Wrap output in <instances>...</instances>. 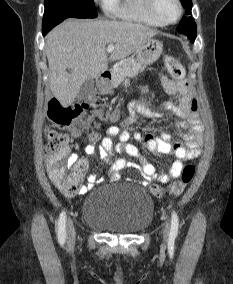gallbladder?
<instances>
[{
    "instance_id": "bac80fb5",
    "label": "gallbladder",
    "mask_w": 233,
    "mask_h": 284,
    "mask_svg": "<svg viewBox=\"0 0 233 284\" xmlns=\"http://www.w3.org/2000/svg\"><path fill=\"white\" fill-rule=\"evenodd\" d=\"M95 91H96V89H95V85H94V80H92V79L86 80L81 85V87L78 91L77 99L79 101L85 100L88 97H90Z\"/></svg>"
}]
</instances>
